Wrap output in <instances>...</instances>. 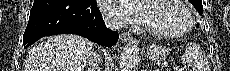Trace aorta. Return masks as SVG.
Segmentation results:
<instances>
[{
    "instance_id": "762f6f07",
    "label": "aorta",
    "mask_w": 230,
    "mask_h": 71,
    "mask_svg": "<svg viewBox=\"0 0 230 71\" xmlns=\"http://www.w3.org/2000/svg\"><path fill=\"white\" fill-rule=\"evenodd\" d=\"M140 62L139 44L136 40H130L121 53L119 60L120 71H135Z\"/></svg>"
}]
</instances>
